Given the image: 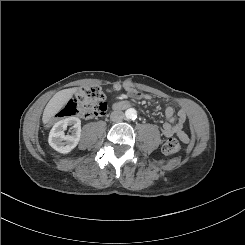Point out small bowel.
Listing matches in <instances>:
<instances>
[{
    "mask_svg": "<svg viewBox=\"0 0 245 245\" xmlns=\"http://www.w3.org/2000/svg\"><path fill=\"white\" fill-rule=\"evenodd\" d=\"M125 89L128 91L129 96L133 99H138V100L151 99V96L149 94L132 89L129 85H125ZM122 103H126V102H120L118 104H122ZM165 117H166V121L161 127V131L163 135L169 137L176 134L182 140L186 141L188 139L187 134L184 132V124L187 119L186 112L183 109L176 110L174 105H169L165 110Z\"/></svg>",
    "mask_w": 245,
    "mask_h": 245,
    "instance_id": "obj_1",
    "label": "small bowel"
}]
</instances>
